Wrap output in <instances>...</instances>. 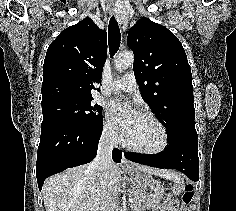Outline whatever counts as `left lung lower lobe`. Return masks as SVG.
Returning <instances> with one entry per match:
<instances>
[{"instance_id": "left-lung-lower-lobe-1", "label": "left lung lower lobe", "mask_w": 236, "mask_h": 211, "mask_svg": "<svg viewBox=\"0 0 236 211\" xmlns=\"http://www.w3.org/2000/svg\"><path fill=\"white\" fill-rule=\"evenodd\" d=\"M125 157L143 165L176 169L193 181L199 180L198 142H171L165 151L158 154L126 152Z\"/></svg>"}]
</instances>
